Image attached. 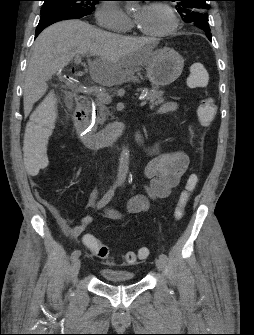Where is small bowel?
Segmentation results:
<instances>
[{
	"instance_id": "small-bowel-1",
	"label": "small bowel",
	"mask_w": 254,
	"mask_h": 335,
	"mask_svg": "<svg viewBox=\"0 0 254 335\" xmlns=\"http://www.w3.org/2000/svg\"><path fill=\"white\" fill-rule=\"evenodd\" d=\"M176 110L177 104L175 102H167L162 105L159 112L169 113ZM138 144L146 150L149 156V161L144 170L145 177L149 180V183L147 184L149 195L148 197L138 195L129 200L128 211L134 213L147 211L149 208V199L161 200L169 197L173 189L179 185L182 176L186 173L189 166V157L183 152L163 151L159 143H155L152 146H145L142 139L138 140ZM97 198V192H93L89 200L90 207L98 208V203L100 201L97 202ZM103 207L99 208H102L109 219L120 220L122 218L120 212L112 208ZM54 216L64 233L73 239L82 235L85 229L90 226L93 221L91 216H84L79 224L71 226L69 221L57 212H54ZM88 237L93 236L86 234L84 240ZM92 254L95 255L93 252Z\"/></svg>"
}]
</instances>
